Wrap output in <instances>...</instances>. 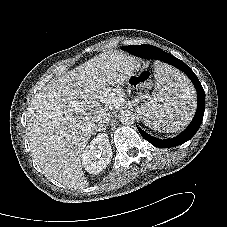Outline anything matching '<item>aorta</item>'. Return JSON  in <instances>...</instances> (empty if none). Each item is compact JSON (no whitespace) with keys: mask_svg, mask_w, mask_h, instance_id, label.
<instances>
[{"mask_svg":"<svg viewBox=\"0 0 227 227\" xmlns=\"http://www.w3.org/2000/svg\"><path fill=\"white\" fill-rule=\"evenodd\" d=\"M135 113L131 110H124L119 115V120L124 125H131L135 122Z\"/></svg>","mask_w":227,"mask_h":227,"instance_id":"aorta-1","label":"aorta"}]
</instances>
